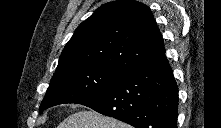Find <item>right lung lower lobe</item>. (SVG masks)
Returning <instances> with one entry per match:
<instances>
[{"mask_svg": "<svg viewBox=\"0 0 221 128\" xmlns=\"http://www.w3.org/2000/svg\"><path fill=\"white\" fill-rule=\"evenodd\" d=\"M78 104L135 128H177L178 87L164 53Z\"/></svg>", "mask_w": 221, "mask_h": 128, "instance_id": "obj_1", "label": "right lung lower lobe"}]
</instances>
